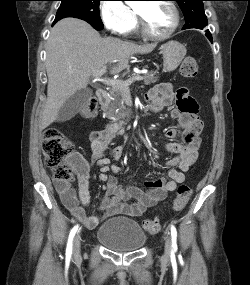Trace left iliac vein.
Segmentation results:
<instances>
[{"label":"left iliac vein","mask_w":250,"mask_h":285,"mask_svg":"<svg viewBox=\"0 0 250 285\" xmlns=\"http://www.w3.org/2000/svg\"><path fill=\"white\" fill-rule=\"evenodd\" d=\"M171 238L169 235L165 237V250H164V258L168 259L171 253Z\"/></svg>","instance_id":"1"}]
</instances>
